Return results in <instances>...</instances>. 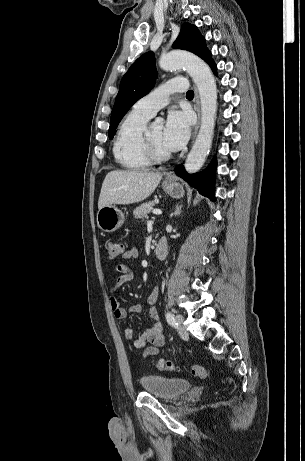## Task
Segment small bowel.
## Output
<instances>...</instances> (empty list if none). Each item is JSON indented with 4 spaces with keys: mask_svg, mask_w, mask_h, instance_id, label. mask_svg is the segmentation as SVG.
Here are the masks:
<instances>
[{
    "mask_svg": "<svg viewBox=\"0 0 305 461\" xmlns=\"http://www.w3.org/2000/svg\"><path fill=\"white\" fill-rule=\"evenodd\" d=\"M139 251L136 247L126 250L123 258L126 260H134L138 257ZM120 275L117 277L114 285L111 288L110 307L113 315L117 319H124L130 314H138L142 312L141 304H134L128 308L121 306L114 293L124 284L133 279L131 269L124 263H120L116 267ZM159 290L157 287L153 288L147 298L148 315L152 321V326L145 330L140 336L133 341V345L137 349H143L142 356L144 358L149 356L158 355L161 348L166 343V337L163 332L162 324L159 320L158 312L156 309V301L158 299ZM124 337L128 340L133 339L134 330L130 327L124 329Z\"/></svg>",
    "mask_w": 305,
    "mask_h": 461,
    "instance_id": "obj_1",
    "label": "small bowel"
}]
</instances>
